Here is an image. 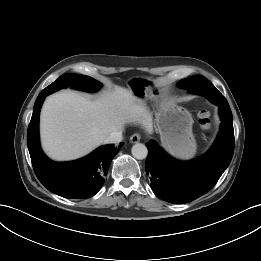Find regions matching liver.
Returning a JSON list of instances; mask_svg holds the SVG:
<instances>
[{"label":"liver","instance_id":"liver-1","mask_svg":"<svg viewBox=\"0 0 261 261\" xmlns=\"http://www.w3.org/2000/svg\"><path fill=\"white\" fill-rule=\"evenodd\" d=\"M128 123H139L153 132L152 116L130 88H115L96 100L72 91L55 93L41 110L42 147L54 160H74L102 145L112 132Z\"/></svg>","mask_w":261,"mask_h":261}]
</instances>
